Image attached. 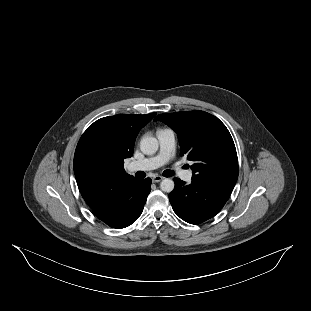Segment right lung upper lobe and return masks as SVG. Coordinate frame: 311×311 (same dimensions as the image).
I'll use <instances>...</instances> for the list:
<instances>
[{
  "label": "right lung upper lobe",
  "instance_id": "1",
  "mask_svg": "<svg viewBox=\"0 0 311 311\" xmlns=\"http://www.w3.org/2000/svg\"><path fill=\"white\" fill-rule=\"evenodd\" d=\"M155 114L104 117L83 133L73 168L80 193L90 208L136 179L125 173L124 160L133 155L137 134Z\"/></svg>",
  "mask_w": 311,
  "mask_h": 311
}]
</instances>
